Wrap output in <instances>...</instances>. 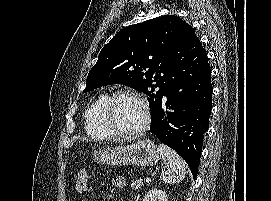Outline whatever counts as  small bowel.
<instances>
[{
  "mask_svg": "<svg viewBox=\"0 0 271 201\" xmlns=\"http://www.w3.org/2000/svg\"><path fill=\"white\" fill-rule=\"evenodd\" d=\"M112 185H113V187H115L117 189L124 188L126 185V180L124 177H121V176L114 177L112 179Z\"/></svg>",
  "mask_w": 271,
  "mask_h": 201,
  "instance_id": "small-bowel-1",
  "label": "small bowel"
}]
</instances>
